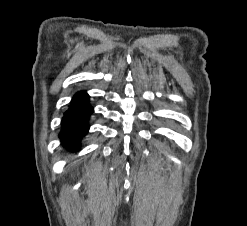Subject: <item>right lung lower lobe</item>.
Listing matches in <instances>:
<instances>
[{"label":"right lung lower lobe","instance_id":"98d812e1","mask_svg":"<svg viewBox=\"0 0 247 226\" xmlns=\"http://www.w3.org/2000/svg\"><path fill=\"white\" fill-rule=\"evenodd\" d=\"M92 112L93 108L88 103L86 92H78L73 97L71 105L62 119L60 139L64 147L70 150L79 148V139L89 129L87 122Z\"/></svg>","mask_w":247,"mask_h":226}]
</instances>
